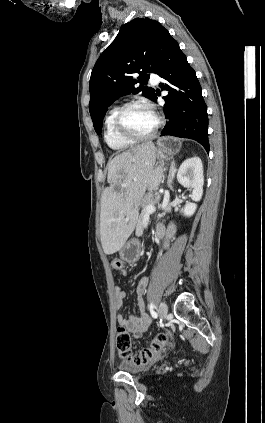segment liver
Segmentation results:
<instances>
[{
    "mask_svg": "<svg viewBox=\"0 0 265 423\" xmlns=\"http://www.w3.org/2000/svg\"><path fill=\"white\" fill-rule=\"evenodd\" d=\"M157 149L145 142L116 155L109 161L107 181L102 195L100 235L104 253L119 251L132 234L138 218V206L146 190H155L163 169L156 166Z\"/></svg>",
    "mask_w": 265,
    "mask_h": 423,
    "instance_id": "1",
    "label": "liver"
}]
</instances>
